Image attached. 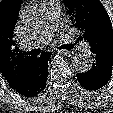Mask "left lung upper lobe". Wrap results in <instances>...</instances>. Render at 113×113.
I'll return each mask as SVG.
<instances>
[{"label": "left lung upper lobe", "instance_id": "obj_1", "mask_svg": "<svg viewBox=\"0 0 113 113\" xmlns=\"http://www.w3.org/2000/svg\"><path fill=\"white\" fill-rule=\"evenodd\" d=\"M76 27L83 32L79 37L89 42L91 49L113 54V30L110 18L99 0H65Z\"/></svg>", "mask_w": 113, "mask_h": 113}]
</instances>
